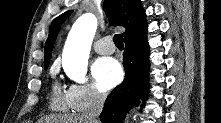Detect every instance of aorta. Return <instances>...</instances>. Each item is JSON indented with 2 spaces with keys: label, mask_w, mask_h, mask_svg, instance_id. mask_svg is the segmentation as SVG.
I'll use <instances>...</instances> for the list:
<instances>
[{
  "label": "aorta",
  "mask_w": 221,
  "mask_h": 123,
  "mask_svg": "<svg viewBox=\"0 0 221 123\" xmlns=\"http://www.w3.org/2000/svg\"><path fill=\"white\" fill-rule=\"evenodd\" d=\"M97 29V19L91 13L80 16L73 24L62 54V66L68 77L86 82L91 44Z\"/></svg>",
  "instance_id": "aorta-1"
}]
</instances>
